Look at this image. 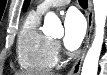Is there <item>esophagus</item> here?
Instances as JSON below:
<instances>
[{
	"label": "esophagus",
	"instance_id": "obj_1",
	"mask_svg": "<svg viewBox=\"0 0 107 75\" xmlns=\"http://www.w3.org/2000/svg\"><path fill=\"white\" fill-rule=\"evenodd\" d=\"M93 22H94L93 5H92V1L88 0V12H87L88 27H87V34H86V38H85V42H84V47H83L79 57L77 58L75 64L69 71L68 75H79V73H80L82 62L84 60L86 51H87L89 43H90Z\"/></svg>",
	"mask_w": 107,
	"mask_h": 75
}]
</instances>
